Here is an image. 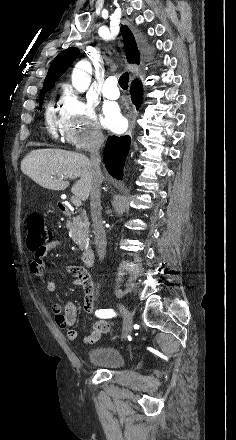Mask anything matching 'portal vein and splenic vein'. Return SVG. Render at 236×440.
<instances>
[{
  "label": "portal vein and splenic vein",
  "mask_w": 236,
  "mask_h": 440,
  "mask_svg": "<svg viewBox=\"0 0 236 440\" xmlns=\"http://www.w3.org/2000/svg\"><path fill=\"white\" fill-rule=\"evenodd\" d=\"M71 202L73 205H75L76 207H80L82 205L81 199L79 197H77L76 195L71 197Z\"/></svg>",
  "instance_id": "1"
}]
</instances>
